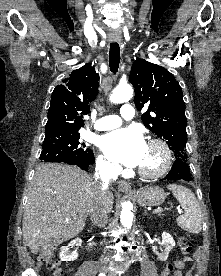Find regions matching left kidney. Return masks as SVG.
<instances>
[{
	"label": "left kidney",
	"instance_id": "left-kidney-1",
	"mask_svg": "<svg viewBox=\"0 0 221 276\" xmlns=\"http://www.w3.org/2000/svg\"><path fill=\"white\" fill-rule=\"evenodd\" d=\"M161 244L164 246V250H162L161 252H158L154 248L153 251L157 255L159 260L166 261L168 256H169V252L171 251L173 246H175V241L169 233L163 232L162 233V243Z\"/></svg>",
	"mask_w": 221,
	"mask_h": 276
}]
</instances>
